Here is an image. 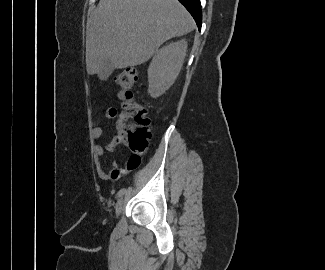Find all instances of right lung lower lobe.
I'll return each instance as SVG.
<instances>
[{
  "label": "right lung lower lobe",
  "instance_id": "98d812e1",
  "mask_svg": "<svg viewBox=\"0 0 325 270\" xmlns=\"http://www.w3.org/2000/svg\"><path fill=\"white\" fill-rule=\"evenodd\" d=\"M179 1L190 12L194 20L196 21L198 28L200 29L202 24V11H201L200 0H179Z\"/></svg>",
  "mask_w": 325,
  "mask_h": 270
}]
</instances>
